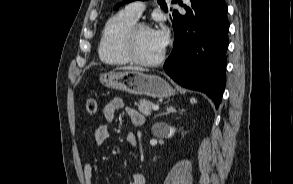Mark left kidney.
Returning <instances> with one entry per match:
<instances>
[{
    "label": "left kidney",
    "mask_w": 293,
    "mask_h": 184,
    "mask_svg": "<svg viewBox=\"0 0 293 184\" xmlns=\"http://www.w3.org/2000/svg\"><path fill=\"white\" fill-rule=\"evenodd\" d=\"M175 131L176 129L174 127L167 126L164 129L163 136L166 138H171L174 135Z\"/></svg>",
    "instance_id": "left-kidney-1"
}]
</instances>
